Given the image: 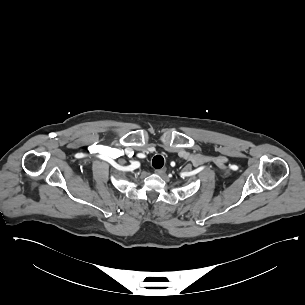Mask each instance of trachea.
<instances>
[{"instance_id":"obj_1","label":"trachea","mask_w":305,"mask_h":305,"mask_svg":"<svg viewBox=\"0 0 305 305\" xmlns=\"http://www.w3.org/2000/svg\"><path fill=\"white\" fill-rule=\"evenodd\" d=\"M163 165H164V158L162 156L157 155L152 159V166L155 169H160L163 167Z\"/></svg>"}]
</instances>
